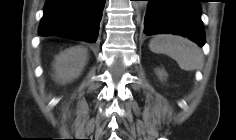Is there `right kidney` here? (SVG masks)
<instances>
[{"label": "right kidney", "instance_id": "obj_1", "mask_svg": "<svg viewBox=\"0 0 236 140\" xmlns=\"http://www.w3.org/2000/svg\"><path fill=\"white\" fill-rule=\"evenodd\" d=\"M87 62V49L82 46L70 47L55 57L54 78L59 83L71 82L78 78Z\"/></svg>", "mask_w": 236, "mask_h": 140}]
</instances>
